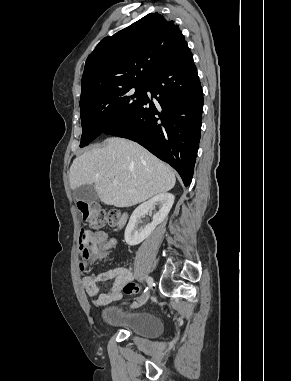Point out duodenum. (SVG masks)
<instances>
[{
    "mask_svg": "<svg viewBox=\"0 0 291 381\" xmlns=\"http://www.w3.org/2000/svg\"><path fill=\"white\" fill-rule=\"evenodd\" d=\"M125 219H126V216L123 215L122 218H121V220H120V222H119V227H122V225H123L124 222H125Z\"/></svg>",
    "mask_w": 291,
    "mask_h": 381,
    "instance_id": "duodenum-1",
    "label": "duodenum"
}]
</instances>
